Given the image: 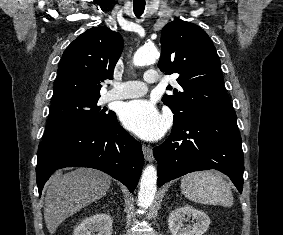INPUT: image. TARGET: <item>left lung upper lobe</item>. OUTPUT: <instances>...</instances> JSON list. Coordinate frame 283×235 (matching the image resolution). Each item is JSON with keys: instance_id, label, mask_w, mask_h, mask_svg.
<instances>
[{"instance_id": "5c2ea615", "label": "left lung upper lobe", "mask_w": 283, "mask_h": 235, "mask_svg": "<svg viewBox=\"0 0 283 235\" xmlns=\"http://www.w3.org/2000/svg\"><path fill=\"white\" fill-rule=\"evenodd\" d=\"M161 48L160 70L179 74L181 88L162 98L174 113V124L234 111L224 87L220 59L203 29L183 20L171 21L161 31ZM167 89L172 90L170 86Z\"/></svg>"}]
</instances>
